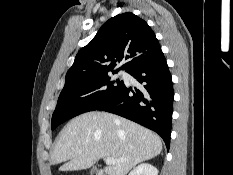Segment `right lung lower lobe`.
<instances>
[{"label": "right lung lower lobe", "instance_id": "obj_1", "mask_svg": "<svg viewBox=\"0 0 233 175\" xmlns=\"http://www.w3.org/2000/svg\"><path fill=\"white\" fill-rule=\"evenodd\" d=\"M128 73L142 85L138 88L124 85L97 110L120 115L155 131L169 149L174 90L163 52Z\"/></svg>", "mask_w": 233, "mask_h": 175}]
</instances>
